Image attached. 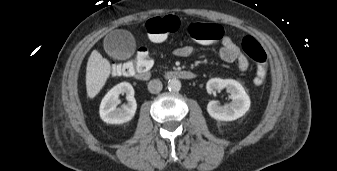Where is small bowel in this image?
I'll list each match as a JSON object with an SVG mask.
<instances>
[{
  "label": "small bowel",
  "mask_w": 337,
  "mask_h": 171,
  "mask_svg": "<svg viewBox=\"0 0 337 171\" xmlns=\"http://www.w3.org/2000/svg\"><path fill=\"white\" fill-rule=\"evenodd\" d=\"M193 53V47L190 45H181L175 48L174 54L178 57H189ZM220 58L228 63L237 62L239 70L245 72L249 68L247 57L240 51L239 47L229 36H224L219 49Z\"/></svg>",
  "instance_id": "c3829d8e"
}]
</instances>
